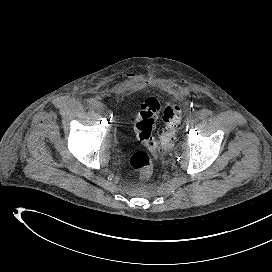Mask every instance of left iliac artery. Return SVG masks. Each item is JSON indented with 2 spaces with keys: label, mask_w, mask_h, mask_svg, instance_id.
I'll return each mask as SVG.
<instances>
[{
  "label": "left iliac artery",
  "mask_w": 272,
  "mask_h": 272,
  "mask_svg": "<svg viewBox=\"0 0 272 272\" xmlns=\"http://www.w3.org/2000/svg\"><path fill=\"white\" fill-rule=\"evenodd\" d=\"M198 118L199 119H205L209 116V111L208 110H202L198 113Z\"/></svg>",
  "instance_id": "44dca946"
}]
</instances>
